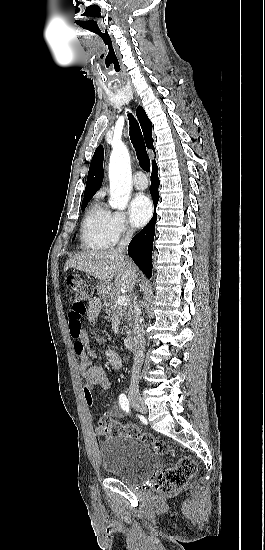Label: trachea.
Segmentation results:
<instances>
[{
    "label": "trachea",
    "instance_id": "obj_1",
    "mask_svg": "<svg viewBox=\"0 0 265 550\" xmlns=\"http://www.w3.org/2000/svg\"><path fill=\"white\" fill-rule=\"evenodd\" d=\"M129 121H130V138H131L133 147L135 148L137 158L139 160V165L144 171L148 172L150 170V159L146 151L145 143L143 140V136H142L139 124L131 114H129Z\"/></svg>",
    "mask_w": 265,
    "mask_h": 550
}]
</instances>
